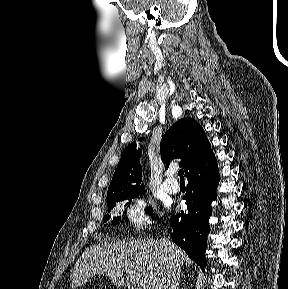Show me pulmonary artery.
Masks as SVG:
<instances>
[{
	"mask_svg": "<svg viewBox=\"0 0 288 289\" xmlns=\"http://www.w3.org/2000/svg\"><path fill=\"white\" fill-rule=\"evenodd\" d=\"M163 188L168 193H176L179 190V184L170 174L163 181Z\"/></svg>",
	"mask_w": 288,
	"mask_h": 289,
	"instance_id": "e3ab8cb5",
	"label": "pulmonary artery"
}]
</instances>
